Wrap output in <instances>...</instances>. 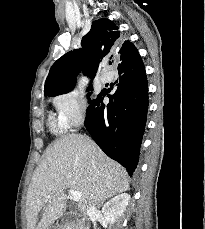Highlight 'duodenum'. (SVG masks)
<instances>
[{"label": "duodenum", "instance_id": "410a0bca", "mask_svg": "<svg viewBox=\"0 0 205 229\" xmlns=\"http://www.w3.org/2000/svg\"><path fill=\"white\" fill-rule=\"evenodd\" d=\"M63 223H73L77 225L80 229H85V225L82 224L77 218H75L73 215L65 217L62 219Z\"/></svg>", "mask_w": 205, "mask_h": 229}]
</instances>
